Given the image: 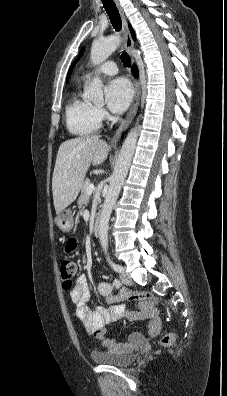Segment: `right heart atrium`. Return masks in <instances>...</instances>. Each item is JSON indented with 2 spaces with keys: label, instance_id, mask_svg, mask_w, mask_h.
Wrapping results in <instances>:
<instances>
[{
  "label": "right heart atrium",
  "instance_id": "right-heart-atrium-1",
  "mask_svg": "<svg viewBox=\"0 0 227 396\" xmlns=\"http://www.w3.org/2000/svg\"><path fill=\"white\" fill-rule=\"evenodd\" d=\"M96 114L100 120H103L107 117V113L102 108H96Z\"/></svg>",
  "mask_w": 227,
  "mask_h": 396
}]
</instances>
